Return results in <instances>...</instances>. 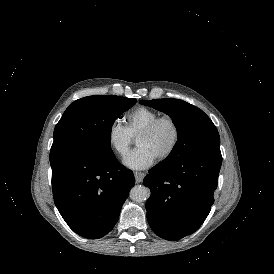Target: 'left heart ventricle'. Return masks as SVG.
I'll return each mask as SVG.
<instances>
[{"instance_id": "b2bd125f", "label": "left heart ventricle", "mask_w": 274, "mask_h": 274, "mask_svg": "<svg viewBox=\"0 0 274 274\" xmlns=\"http://www.w3.org/2000/svg\"><path fill=\"white\" fill-rule=\"evenodd\" d=\"M173 130L169 124H162L152 135L136 139V147L146 148L155 159H159L170 147Z\"/></svg>"}]
</instances>
